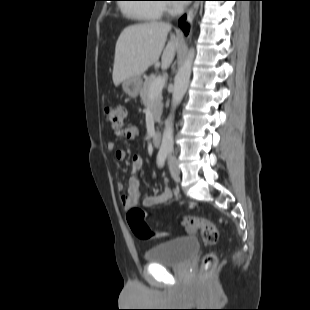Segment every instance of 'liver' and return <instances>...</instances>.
<instances>
[{
  "label": "liver",
  "instance_id": "obj_1",
  "mask_svg": "<svg viewBox=\"0 0 310 310\" xmlns=\"http://www.w3.org/2000/svg\"><path fill=\"white\" fill-rule=\"evenodd\" d=\"M171 30L169 23L150 22L126 27L120 34L115 47L112 79L115 85L131 77H140L162 53V68L172 63L178 41L172 36L166 43Z\"/></svg>",
  "mask_w": 310,
  "mask_h": 310
}]
</instances>
